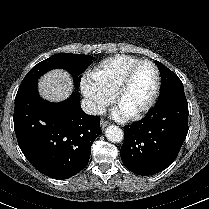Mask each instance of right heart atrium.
<instances>
[{"label":"right heart atrium","instance_id":"1","mask_svg":"<svg viewBox=\"0 0 209 209\" xmlns=\"http://www.w3.org/2000/svg\"><path fill=\"white\" fill-rule=\"evenodd\" d=\"M81 90L94 113H102L113 101L114 95L102 87L96 80L84 77L81 81Z\"/></svg>","mask_w":209,"mask_h":209}]
</instances>
